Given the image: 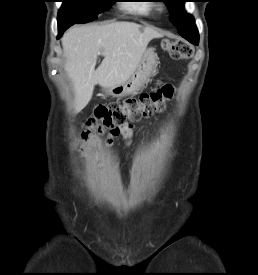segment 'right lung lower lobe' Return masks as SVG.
I'll use <instances>...</instances> for the list:
<instances>
[{
    "mask_svg": "<svg viewBox=\"0 0 258 275\" xmlns=\"http://www.w3.org/2000/svg\"><path fill=\"white\" fill-rule=\"evenodd\" d=\"M72 25H73V23H60V24H58L59 35H58L57 38H60L62 36L63 32Z\"/></svg>",
    "mask_w": 258,
    "mask_h": 275,
    "instance_id": "1",
    "label": "right lung lower lobe"
}]
</instances>
